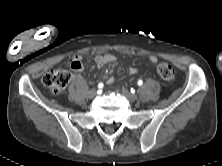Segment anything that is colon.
Returning <instances> with one entry per match:
<instances>
[{
    "instance_id": "colon-1",
    "label": "colon",
    "mask_w": 222,
    "mask_h": 166,
    "mask_svg": "<svg viewBox=\"0 0 222 166\" xmlns=\"http://www.w3.org/2000/svg\"><path fill=\"white\" fill-rule=\"evenodd\" d=\"M158 75L167 83H172L175 79V70L169 63H155ZM72 74L67 69H56L47 72L42 77V83L54 94L61 93L70 83Z\"/></svg>"
}]
</instances>
